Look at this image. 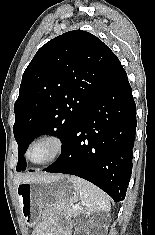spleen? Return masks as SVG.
Returning <instances> with one entry per match:
<instances>
[{"label": "spleen", "instance_id": "1", "mask_svg": "<svg viewBox=\"0 0 155 235\" xmlns=\"http://www.w3.org/2000/svg\"><path fill=\"white\" fill-rule=\"evenodd\" d=\"M72 181L78 187L79 195L86 211H110L111 206L109 197L105 192L84 179L73 176Z\"/></svg>", "mask_w": 155, "mask_h": 235}]
</instances>
